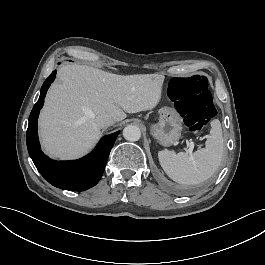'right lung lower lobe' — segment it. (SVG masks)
Returning <instances> with one entry per match:
<instances>
[{"mask_svg": "<svg viewBox=\"0 0 265 265\" xmlns=\"http://www.w3.org/2000/svg\"><path fill=\"white\" fill-rule=\"evenodd\" d=\"M56 71L45 80L40 97L29 116L26 142L29 155L41 175L53 186L71 191H83L100 180L111 148L120 131L104 136L96 148L87 156L74 161H55L41 151L37 135V119L44 104V98Z\"/></svg>", "mask_w": 265, "mask_h": 265, "instance_id": "98d812e1", "label": "right lung lower lobe"}]
</instances>
